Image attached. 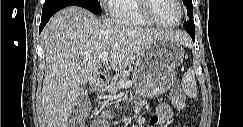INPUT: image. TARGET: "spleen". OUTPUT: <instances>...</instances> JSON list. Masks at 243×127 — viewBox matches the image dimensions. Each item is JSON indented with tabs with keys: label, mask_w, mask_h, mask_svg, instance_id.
I'll return each mask as SVG.
<instances>
[{
	"label": "spleen",
	"mask_w": 243,
	"mask_h": 127,
	"mask_svg": "<svg viewBox=\"0 0 243 127\" xmlns=\"http://www.w3.org/2000/svg\"><path fill=\"white\" fill-rule=\"evenodd\" d=\"M182 88L187 96L195 98L197 96V85L194 70H188L182 78Z\"/></svg>",
	"instance_id": "spleen-1"
}]
</instances>
